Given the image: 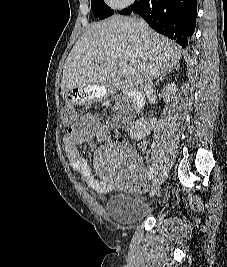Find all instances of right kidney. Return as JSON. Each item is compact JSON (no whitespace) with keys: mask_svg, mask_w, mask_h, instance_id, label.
I'll use <instances>...</instances> for the list:
<instances>
[{"mask_svg":"<svg viewBox=\"0 0 227 267\" xmlns=\"http://www.w3.org/2000/svg\"><path fill=\"white\" fill-rule=\"evenodd\" d=\"M176 90L177 88L174 83L168 84L164 87V94L168 96L167 102H170V98H169L170 93L172 94V91L176 92ZM156 122H157L156 119L137 120L130 129V135L132 139L141 140L145 138L150 133V131L153 129Z\"/></svg>","mask_w":227,"mask_h":267,"instance_id":"obj_1","label":"right kidney"}]
</instances>
